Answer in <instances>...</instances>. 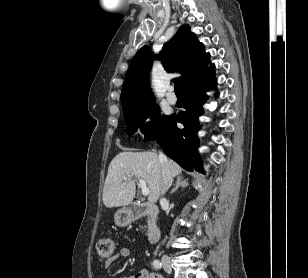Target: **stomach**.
Returning a JSON list of instances; mask_svg holds the SVG:
<instances>
[{
  "label": "stomach",
  "mask_w": 308,
  "mask_h": 278,
  "mask_svg": "<svg viewBox=\"0 0 308 278\" xmlns=\"http://www.w3.org/2000/svg\"><path fill=\"white\" fill-rule=\"evenodd\" d=\"M131 220L130 213L127 209H120L114 215L115 224L118 226H125Z\"/></svg>",
  "instance_id": "1"
}]
</instances>
